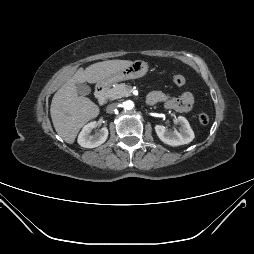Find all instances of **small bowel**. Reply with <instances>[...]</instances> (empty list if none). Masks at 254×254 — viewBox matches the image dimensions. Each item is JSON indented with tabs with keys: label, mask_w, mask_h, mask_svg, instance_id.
<instances>
[{
	"label": "small bowel",
	"mask_w": 254,
	"mask_h": 254,
	"mask_svg": "<svg viewBox=\"0 0 254 254\" xmlns=\"http://www.w3.org/2000/svg\"><path fill=\"white\" fill-rule=\"evenodd\" d=\"M147 101L151 105L161 102L166 108L177 112H189L194 106V97L189 91H184L177 98L170 97L161 91H153L148 95Z\"/></svg>",
	"instance_id": "small-bowel-1"
}]
</instances>
